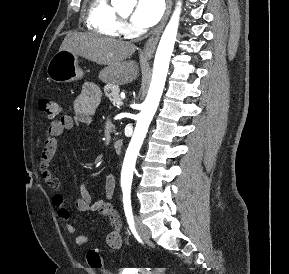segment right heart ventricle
Listing matches in <instances>:
<instances>
[{
	"label": "right heart ventricle",
	"mask_w": 289,
	"mask_h": 274,
	"mask_svg": "<svg viewBox=\"0 0 289 274\" xmlns=\"http://www.w3.org/2000/svg\"><path fill=\"white\" fill-rule=\"evenodd\" d=\"M87 28L100 35L118 37L123 25L109 0H89L85 9Z\"/></svg>",
	"instance_id": "right-heart-ventricle-1"
}]
</instances>
